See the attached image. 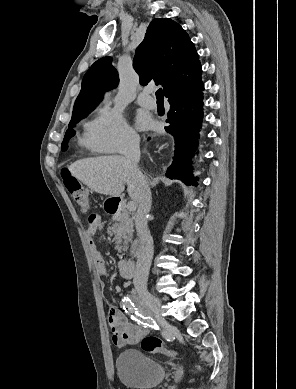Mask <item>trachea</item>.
<instances>
[{
    "mask_svg": "<svg viewBox=\"0 0 296 389\" xmlns=\"http://www.w3.org/2000/svg\"><path fill=\"white\" fill-rule=\"evenodd\" d=\"M156 98H157V100H163V90H162V88H159L156 91Z\"/></svg>",
    "mask_w": 296,
    "mask_h": 389,
    "instance_id": "trachea-1",
    "label": "trachea"
}]
</instances>
